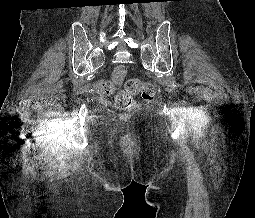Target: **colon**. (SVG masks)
<instances>
[{"mask_svg":"<svg viewBox=\"0 0 255 218\" xmlns=\"http://www.w3.org/2000/svg\"><path fill=\"white\" fill-rule=\"evenodd\" d=\"M126 74V66H117L113 71L114 82H121ZM98 91L101 95H108L117 92V87L112 82L101 81L98 84ZM155 94V87L151 82L140 78H131L126 82L125 90L116 93L114 102L119 110L131 111L137 107L134 95H140L143 99L152 101L155 98Z\"/></svg>","mask_w":255,"mask_h":218,"instance_id":"1","label":"colon"}]
</instances>
